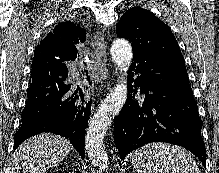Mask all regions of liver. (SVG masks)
<instances>
[{
	"label": "liver",
	"instance_id": "6515ba94",
	"mask_svg": "<svg viewBox=\"0 0 219 173\" xmlns=\"http://www.w3.org/2000/svg\"><path fill=\"white\" fill-rule=\"evenodd\" d=\"M73 150L64 137L43 133L29 138L13 154L10 173H46Z\"/></svg>",
	"mask_w": 219,
	"mask_h": 173
}]
</instances>
